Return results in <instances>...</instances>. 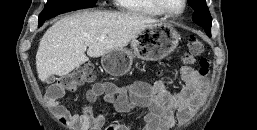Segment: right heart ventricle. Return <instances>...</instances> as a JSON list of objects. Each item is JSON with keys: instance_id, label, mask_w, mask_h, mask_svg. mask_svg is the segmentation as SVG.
I'll list each match as a JSON object with an SVG mask.
<instances>
[{"instance_id": "e07e8e85", "label": "right heart ventricle", "mask_w": 257, "mask_h": 130, "mask_svg": "<svg viewBox=\"0 0 257 130\" xmlns=\"http://www.w3.org/2000/svg\"><path fill=\"white\" fill-rule=\"evenodd\" d=\"M124 11L141 16H162L163 13L156 7L153 0H115Z\"/></svg>"}]
</instances>
